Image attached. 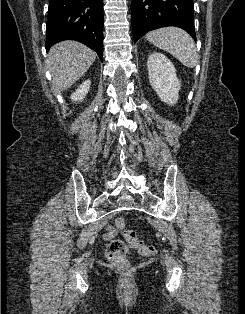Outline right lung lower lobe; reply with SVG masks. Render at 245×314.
Returning a JSON list of instances; mask_svg holds the SVG:
<instances>
[{"instance_id": "right-lung-lower-lobe-1", "label": "right lung lower lobe", "mask_w": 245, "mask_h": 314, "mask_svg": "<svg viewBox=\"0 0 245 314\" xmlns=\"http://www.w3.org/2000/svg\"><path fill=\"white\" fill-rule=\"evenodd\" d=\"M76 40L96 51L103 59V1L50 0L45 47Z\"/></svg>"}]
</instances>
